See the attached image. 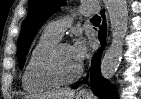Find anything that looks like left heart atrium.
Wrapping results in <instances>:
<instances>
[{
    "label": "left heart atrium",
    "mask_w": 141,
    "mask_h": 99,
    "mask_svg": "<svg viewBox=\"0 0 141 99\" xmlns=\"http://www.w3.org/2000/svg\"><path fill=\"white\" fill-rule=\"evenodd\" d=\"M70 48L74 60L79 66H81L89 52L87 41L80 37L74 42L73 45L70 46Z\"/></svg>",
    "instance_id": "39dd6f15"
}]
</instances>
